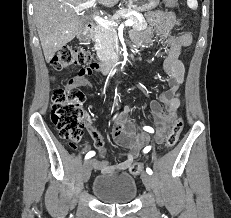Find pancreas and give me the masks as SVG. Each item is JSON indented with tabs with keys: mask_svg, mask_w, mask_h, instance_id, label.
<instances>
[{
	"mask_svg": "<svg viewBox=\"0 0 231 218\" xmlns=\"http://www.w3.org/2000/svg\"><path fill=\"white\" fill-rule=\"evenodd\" d=\"M132 12L130 8H122L109 18V21H118L119 18L124 17L126 14ZM128 20L134 22L132 28L137 31H142L147 28V23L142 20L140 21L136 16L130 15L127 17ZM116 38V30L114 27H103L97 25L94 32L93 41H95V48L100 49L101 53L110 52L113 50V41Z\"/></svg>",
	"mask_w": 231,
	"mask_h": 218,
	"instance_id": "1",
	"label": "pancreas"
}]
</instances>
